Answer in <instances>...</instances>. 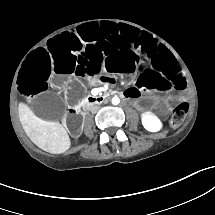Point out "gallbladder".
Instances as JSON below:
<instances>
[{
	"label": "gallbladder",
	"instance_id": "gallbladder-1",
	"mask_svg": "<svg viewBox=\"0 0 215 215\" xmlns=\"http://www.w3.org/2000/svg\"><path fill=\"white\" fill-rule=\"evenodd\" d=\"M32 111L40 119H61L66 107L64 98L53 93H41L32 102Z\"/></svg>",
	"mask_w": 215,
	"mask_h": 215
}]
</instances>
